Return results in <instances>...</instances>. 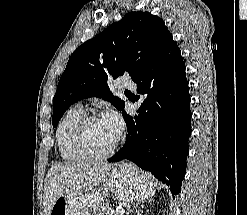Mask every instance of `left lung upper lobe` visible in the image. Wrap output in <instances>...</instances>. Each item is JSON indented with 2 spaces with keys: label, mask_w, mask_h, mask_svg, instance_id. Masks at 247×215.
Masks as SVG:
<instances>
[{
  "label": "left lung upper lobe",
  "mask_w": 247,
  "mask_h": 215,
  "mask_svg": "<svg viewBox=\"0 0 247 215\" xmlns=\"http://www.w3.org/2000/svg\"><path fill=\"white\" fill-rule=\"evenodd\" d=\"M172 34L164 21L149 12H130L70 56L53 99L52 125L75 102L100 97L123 111L124 101L114 96L107 80L128 73L132 80L159 56Z\"/></svg>",
  "instance_id": "5c2ea615"
}]
</instances>
